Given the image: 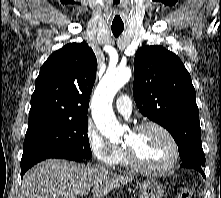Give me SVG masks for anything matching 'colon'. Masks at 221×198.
<instances>
[{"label":"colon","mask_w":221,"mask_h":198,"mask_svg":"<svg viewBox=\"0 0 221 198\" xmlns=\"http://www.w3.org/2000/svg\"><path fill=\"white\" fill-rule=\"evenodd\" d=\"M193 188L190 186L182 187L178 193V198H192Z\"/></svg>","instance_id":"colon-1"}]
</instances>
